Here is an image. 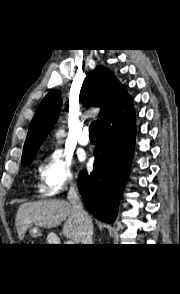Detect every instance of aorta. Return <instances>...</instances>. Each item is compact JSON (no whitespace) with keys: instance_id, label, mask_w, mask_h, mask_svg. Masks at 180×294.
Instances as JSON below:
<instances>
[{"instance_id":"1","label":"aorta","mask_w":180,"mask_h":294,"mask_svg":"<svg viewBox=\"0 0 180 294\" xmlns=\"http://www.w3.org/2000/svg\"><path fill=\"white\" fill-rule=\"evenodd\" d=\"M62 133H63V131H58L56 135H57V136H61Z\"/></svg>"}]
</instances>
